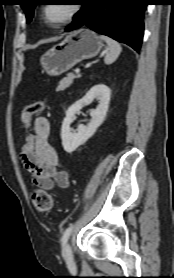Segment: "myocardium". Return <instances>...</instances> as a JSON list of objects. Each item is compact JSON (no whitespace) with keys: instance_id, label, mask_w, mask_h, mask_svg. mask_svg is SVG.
Wrapping results in <instances>:
<instances>
[{"instance_id":"myocardium-1","label":"myocardium","mask_w":174,"mask_h":278,"mask_svg":"<svg viewBox=\"0 0 174 278\" xmlns=\"http://www.w3.org/2000/svg\"><path fill=\"white\" fill-rule=\"evenodd\" d=\"M70 5V10L68 12V14L63 18L61 19L60 21H57V22H50L46 17H45V14H44V11H45V8L47 5H42L41 8H40V17L42 19V21L50 26V27H53V28H59L69 22H71L81 11V8L82 6L78 3H73V4H69Z\"/></svg>"}]
</instances>
